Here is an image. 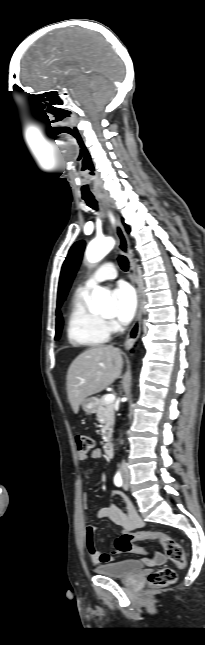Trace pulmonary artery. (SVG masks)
<instances>
[{"label": "pulmonary artery", "instance_id": "obj_1", "mask_svg": "<svg viewBox=\"0 0 205 645\" xmlns=\"http://www.w3.org/2000/svg\"><path fill=\"white\" fill-rule=\"evenodd\" d=\"M116 277H117V270H116L114 264L105 263V264L101 265L94 272V274L90 277V279L85 284H83L79 289L88 291L95 284L103 282V281H106V280L115 279Z\"/></svg>", "mask_w": 205, "mask_h": 645}]
</instances>
